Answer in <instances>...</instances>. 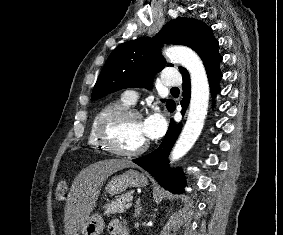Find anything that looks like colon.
Instances as JSON below:
<instances>
[{
  "label": "colon",
  "mask_w": 283,
  "mask_h": 235,
  "mask_svg": "<svg viewBox=\"0 0 283 235\" xmlns=\"http://www.w3.org/2000/svg\"><path fill=\"white\" fill-rule=\"evenodd\" d=\"M66 190H67V183H66V181L65 180H60L57 183L56 190H55V197H56V199L57 200L62 199L63 196L66 193Z\"/></svg>",
  "instance_id": "1"
}]
</instances>
